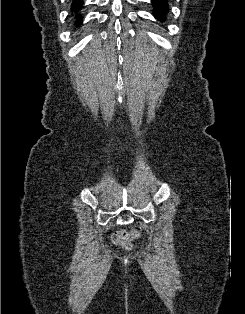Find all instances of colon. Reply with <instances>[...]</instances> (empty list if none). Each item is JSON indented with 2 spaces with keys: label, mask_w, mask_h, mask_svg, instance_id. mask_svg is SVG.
Segmentation results:
<instances>
[{
  "label": "colon",
  "mask_w": 245,
  "mask_h": 314,
  "mask_svg": "<svg viewBox=\"0 0 245 314\" xmlns=\"http://www.w3.org/2000/svg\"><path fill=\"white\" fill-rule=\"evenodd\" d=\"M140 234L136 230L132 231H123L117 232L112 236V241L114 244L121 246V247H129L131 242L138 239Z\"/></svg>",
  "instance_id": "colon-1"
}]
</instances>
